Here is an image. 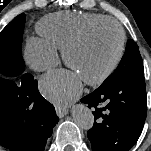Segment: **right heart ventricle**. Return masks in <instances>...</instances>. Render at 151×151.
I'll list each match as a JSON object with an SVG mask.
<instances>
[{"label": "right heart ventricle", "instance_id": "1", "mask_svg": "<svg viewBox=\"0 0 151 151\" xmlns=\"http://www.w3.org/2000/svg\"><path fill=\"white\" fill-rule=\"evenodd\" d=\"M107 16L85 12H59L43 17L37 24L41 38L56 49L80 33L89 24Z\"/></svg>", "mask_w": 151, "mask_h": 151}]
</instances>
